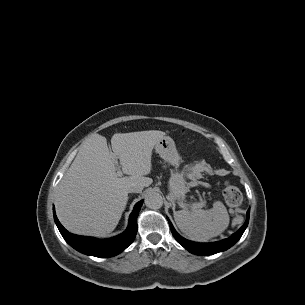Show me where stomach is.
<instances>
[{
    "mask_svg": "<svg viewBox=\"0 0 305 305\" xmlns=\"http://www.w3.org/2000/svg\"><path fill=\"white\" fill-rule=\"evenodd\" d=\"M155 151L165 162L175 167V170L171 173L169 179L170 196L172 200H177L178 202L183 201L189 188L184 172L178 171V167L181 163V156L176 148L175 142L172 138L164 136L155 145Z\"/></svg>",
    "mask_w": 305,
    "mask_h": 305,
    "instance_id": "1",
    "label": "stomach"
}]
</instances>
